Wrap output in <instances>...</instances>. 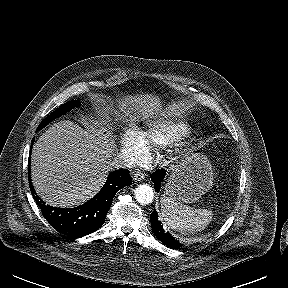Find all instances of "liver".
Instances as JSON below:
<instances>
[{"mask_svg": "<svg viewBox=\"0 0 288 288\" xmlns=\"http://www.w3.org/2000/svg\"><path fill=\"white\" fill-rule=\"evenodd\" d=\"M119 109L143 119L165 115L159 97L151 94L125 96ZM114 141L105 120L86 129L69 120L46 130L31 155V177L37 194L48 205L73 207L91 199L104 185L111 170Z\"/></svg>", "mask_w": 288, "mask_h": 288, "instance_id": "obj_1", "label": "liver"}]
</instances>
